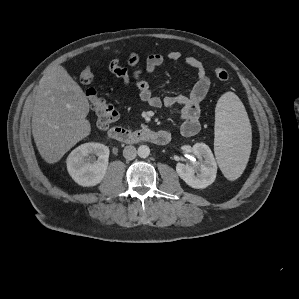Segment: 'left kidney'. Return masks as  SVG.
<instances>
[{"label": "left kidney", "mask_w": 299, "mask_h": 299, "mask_svg": "<svg viewBox=\"0 0 299 299\" xmlns=\"http://www.w3.org/2000/svg\"><path fill=\"white\" fill-rule=\"evenodd\" d=\"M192 151L198 161L193 165L177 163L176 171L190 187L204 189L215 181L217 163L211 149L204 143L194 144Z\"/></svg>", "instance_id": "1"}]
</instances>
